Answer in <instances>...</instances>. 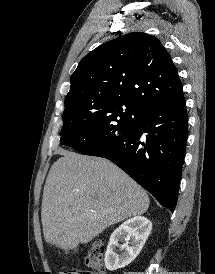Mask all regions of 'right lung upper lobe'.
<instances>
[{
  "instance_id": "cb5924a9",
  "label": "right lung upper lobe",
  "mask_w": 215,
  "mask_h": 274,
  "mask_svg": "<svg viewBox=\"0 0 215 274\" xmlns=\"http://www.w3.org/2000/svg\"><path fill=\"white\" fill-rule=\"evenodd\" d=\"M65 102L120 101L145 109L184 98L172 59L160 41L132 32L86 55L70 78Z\"/></svg>"
}]
</instances>
